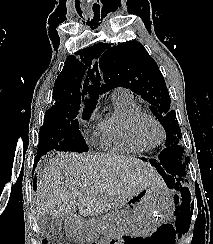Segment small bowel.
I'll return each instance as SVG.
<instances>
[{
	"label": "small bowel",
	"instance_id": "small-bowel-1",
	"mask_svg": "<svg viewBox=\"0 0 213 244\" xmlns=\"http://www.w3.org/2000/svg\"><path fill=\"white\" fill-rule=\"evenodd\" d=\"M113 244H126V240L124 238H121L119 240L114 241Z\"/></svg>",
	"mask_w": 213,
	"mask_h": 244
}]
</instances>
